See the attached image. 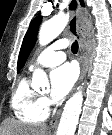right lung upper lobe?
Instances as JSON below:
<instances>
[{"label":"right lung upper lobe","mask_w":112,"mask_h":135,"mask_svg":"<svg viewBox=\"0 0 112 135\" xmlns=\"http://www.w3.org/2000/svg\"><path fill=\"white\" fill-rule=\"evenodd\" d=\"M80 3H81V5H82V6L84 5V3H83V1H82V0H80Z\"/></svg>","instance_id":"1"}]
</instances>
